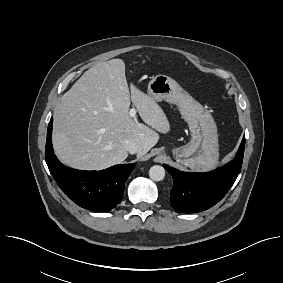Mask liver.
<instances>
[{
    "label": "liver",
    "mask_w": 283,
    "mask_h": 283,
    "mask_svg": "<svg viewBox=\"0 0 283 283\" xmlns=\"http://www.w3.org/2000/svg\"><path fill=\"white\" fill-rule=\"evenodd\" d=\"M130 91L122 59L101 62L87 70L61 98L54 117L53 146L66 165L82 170H103L127 157L125 141L145 155L170 131L162 108L133 83ZM143 123L129 115L130 103Z\"/></svg>",
    "instance_id": "obj_1"
}]
</instances>
